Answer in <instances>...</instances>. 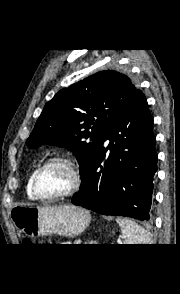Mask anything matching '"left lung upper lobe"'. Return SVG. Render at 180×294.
Instances as JSON below:
<instances>
[{
    "label": "left lung upper lobe",
    "mask_w": 180,
    "mask_h": 294,
    "mask_svg": "<svg viewBox=\"0 0 180 294\" xmlns=\"http://www.w3.org/2000/svg\"><path fill=\"white\" fill-rule=\"evenodd\" d=\"M138 91L120 72L105 70L91 75L60 90L46 103L26 144L29 148L46 144L67 147L77 157L83 181L106 134Z\"/></svg>",
    "instance_id": "left-lung-upper-lobe-1"
}]
</instances>
